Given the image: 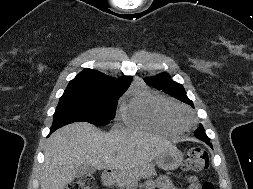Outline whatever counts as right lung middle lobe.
I'll list each match as a JSON object with an SVG mask.
<instances>
[{
	"instance_id": "obj_1",
	"label": "right lung middle lobe",
	"mask_w": 253,
	"mask_h": 189,
	"mask_svg": "<svg viewBox=\"0 0 253 189\" xmlns=\"http://www.w3.org/2000/svg\"><path fill=\"white\" fill-rule=\"evenodd\" d=\"M125 90H65L53 115L51 128L72 122L106 125L115 117L117 100Z\"/></svg>"
}]
</instances>
